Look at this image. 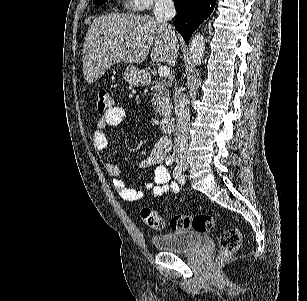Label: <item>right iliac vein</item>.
Here are the masks:
<instances>
[{"instance_id": "right-iliac-vein-1", "label": "right iliac vein", "mask_w": 307, "mask_h": 301, "mask_svg": "<svg viewBox=\"0 0 307 301\" xmlns=\"http://www.w3.org/2000/svg\"><path fill=\"white\" fill-rule=\"evenodd\" d=\"M177 163L182 166L183 165V160L182 159H177Z\"/></svg>"}]
</instances>
